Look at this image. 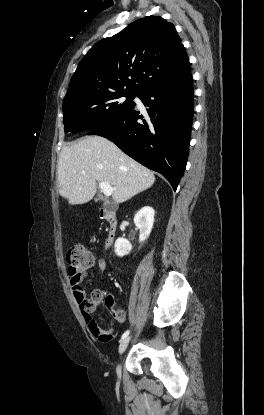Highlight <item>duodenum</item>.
<instances>
[{
    "mask_svg": "<svg viewBox=\"0 0 264 415\" xmlns=\"http://www.w3.org/2000/svg\"><path fill=\"white\" fill-rule=\"evenodd\" d=\"M99 216L106 222L107 224V238L105 240V248H109L113 239L116 236L117 229H118V218L115 211L110 210L106 207H100L98 209Z\"/></svg>",
    "mask_w": 264,
    "mask_h": 415,
    "instance_id": "410a0bca",
    "label": "duodenum"
}]
</instances>
